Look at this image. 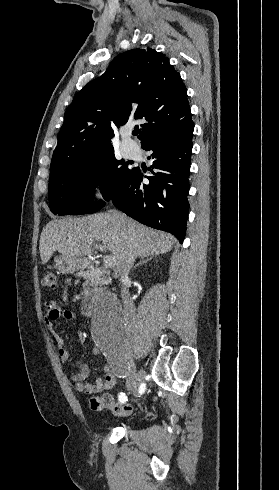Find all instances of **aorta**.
Returning a JSON list of instances; mask_svg holds the SVG:
<instances>
[{
  "label": "aorta",
  "mask_w": 279,
  "mask_h": 490,
  "mask_svg": "<svg viewBox=\"0 0 279 490\" xmlns=\"http://www.w3.org/2000/svg\"><path fill=\"white\" fill-rule=\"evenodd\" d=\"M92 335L95 341L105 350L116 348L127 338V325L118 299L104 293L96 298L91 320Z\"/></svg>",
  "instance_id": "762f6f07"
}]
</instances>
